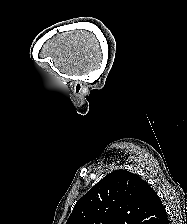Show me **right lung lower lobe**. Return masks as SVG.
Wrapping results in <instances>:
<instances>
[{"label":"right lung lower lobe","mask_w":187,"mask_h":224,"mask_svg":"<svg viewBox=\"0 0 187 224\" xmlns=\"http://www.w3.org/2000/svg\"><path fill=\"white\" fill-rule=\"evenodd\" d=\"M161 224H169L168 218L166 217L165 220Z\"/></svg>","instance_id":"right-lung-lower-lobe-1"}]
</instances>
